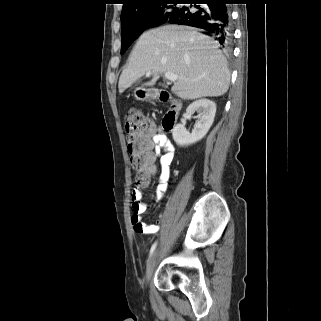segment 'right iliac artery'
<instances>
[{
    "instance_id": "82829eb1",
    "label": "right iliac artery",
    "mask_w": 321,
    "mask_h": 321,
    "mask_svg": "<svg viewBox=\"0 0 321 321\" xmlns=\"http://www.w3.org/2000/svg\"><path fill=\"white\" fill-rule=\"evenodd\" d=\"M156 246H157V242H155V243L151 246V249H150V252H149V257L153 254Z\"/></svg>"
}]
</instances>
